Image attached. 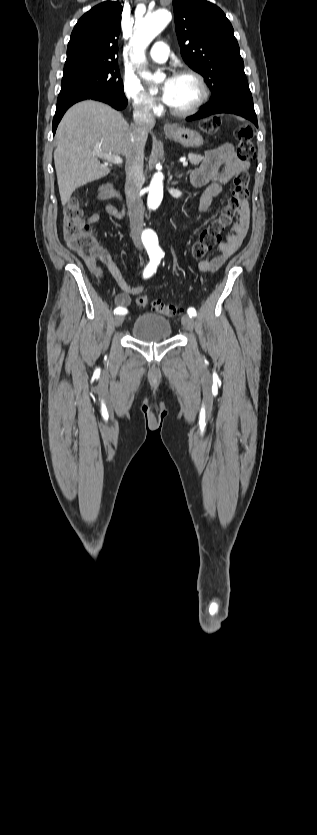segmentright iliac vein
<instances>
[{"label": "right iliac vein", "instance_id": "right-iliac-vein-1", "mask_svg": "<svg viewBox=\"0 0 317 835\" xmlns=\"http://www.w3.org/2000/svg\"><path fill=\"white\" fill-rule=\"evenodd\" d=\"M123 321H124V317H123V315H117V316L115 317V320H114V322H115V326H116V327H119L120 325H122Z\"/></svg>", "mask_w": 317, "mask_h": 835}]
</instances>
